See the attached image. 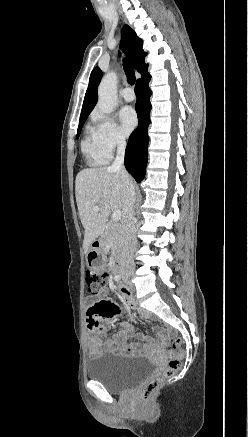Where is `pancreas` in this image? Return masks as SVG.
Here are the masks:
<instances>
[{"mask_svg":"<svg viewBox=\"0 0 248 437\" xmlns=\"http://www.w3.org/2000/svg\"><path fill=\"white\" fill-rule=\"evenodd\" d=\"M103 242L107 246L112 242V253L115 255L122 243V227L119 224L110 223L103 232Z\"/></svg>","mask_w":248,"mask_h":437,"instance_id":"1","label":"pancreas"}]
</instances>
